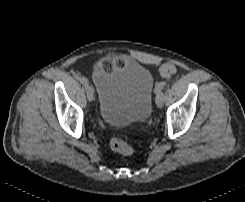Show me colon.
Masks as SVG:
<instances>
[{"label": "colon", "instance_id": "1", "mask_svg": "<svg viewBox=\"0 0 245 202\" xmlns=\"http://www.w3.org/2000/svg\"><path fill=\"white\" fill-rule=\"evenodd\" d=\"M123 64V60L119 59L114 61L112 59H107L102 63V67L107 70H112L117 66ZM176 65L175 63H168L160 69V74L162 77H170L175 73ZM110 147L117 153L121 155H130L133 153V146L126 140L120 137H112L110 140Z\"/></svg>", "mask_w": 245, "mask_h": 202}]
</instances>
